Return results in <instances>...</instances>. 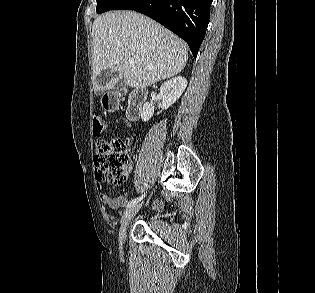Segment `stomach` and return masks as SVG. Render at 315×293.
Listing matches in <instances>:
<instances>
[{
    "instance_id": "obj_1",
    "label": "stomach",
    "mask_w": 315,
    "mask_h": 293,
    "mask_svg": "<svg viewBox=\"0 0 315 293\" xmlns=\"http://www.w3.org/2000/svg\"><path fill=\"white\" fill-rule=\"evenodd\" d=\"M121 97L117 92H104L101 99V106L104 110H118Z\"/></svg>"
}]
</instances>
